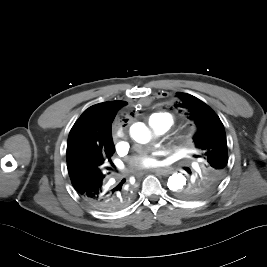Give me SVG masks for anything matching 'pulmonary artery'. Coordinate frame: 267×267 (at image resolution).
I'll use <instances>...</instances> for the list:
<instances>
[{
	"label": "pulmonary artery",
	"mask_w": 267,
	"mask_h": 267,
	"mask_svg": "<svg viewBox=\"0 0 267 267\" xmlns=\"http://www.w3.org/2000/svg\"><path fill=\"white\" fill-rule=\"evenodd\" d=\"M149 123H150V126H151L153 132L156 135H162V134L166 133L171 126L170 119L167 117H162L159 119H153Z\"/></svg>",
	"instance_id": "pulmonary-artery-1"
}]
</instances>
